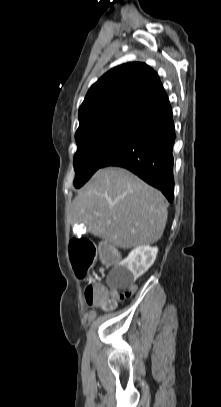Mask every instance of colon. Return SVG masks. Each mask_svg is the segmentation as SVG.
Segmentation results:
<instances>
[{
    "label": "colon",
    "instance_id": "colon-1",
    "mask_svg": "<svg viewBox=\"0 0 221 407\" xmlns=\"http://www.w3.org/2000/svg\"><path fill=\"white\" fill-rule=\"evenodd\" d=\"M120 246H100L99 253L103 255L104 268L113 266V261L121 260ZM70 258L78 277L84 278L89 267L97 258V248L86 238H75L70 244ZM134 291H110L101 284H90L85 289V299L89 305L113 309L118 301L129 298Z\"/></svg>",
    "mask_w": 221,
    "mask_h": 407
}]
</instances>
